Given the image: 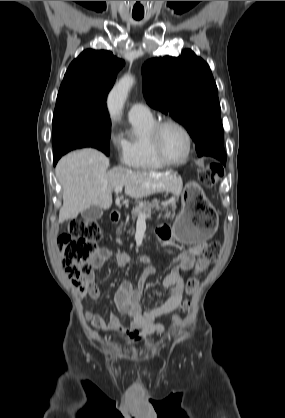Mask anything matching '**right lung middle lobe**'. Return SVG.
I'll use <instances>...</instances> for the list:
<instances>
[{
  "label": "right lung middle lobe",
  "mask_w": 285,
  "mask_h": 418,
  "mask_svg": "<svg viewBox=\"0 0 285 418\" xmlns=\"http://www.w3.org/2000/svg\"><path fill=\"white\" fill-rule=\"evenodd\" d=\"M111 122L105 111L80 106L55 107L53 114V159L83 147L109 155Z\"/></svg>",
  "instance_id": "dd1d6c3e"
}]
</instances>
